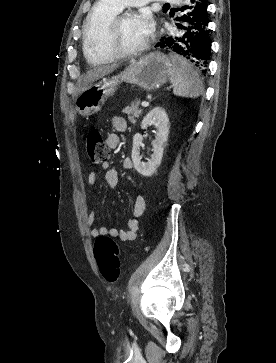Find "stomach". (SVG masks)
<instances>
[{"instance_id":"0dacf381","label":"stomach","mask_w":276,"mask_h":363,"mask_svg":"<svg viewBox=\"0 0 276 363\" xmlns=\"http://www.w3.org/2000/svg\"><path fill=\"white\" fill-rule=\"evenodd\" d=\"M171 73V59L163 53L153 52L132 60L120 74L102 77L82 91L76 98V110L83 116H91L102 109L122 82L153 91L162 87L171 78Z\"/></svg>"}]
</instances>
